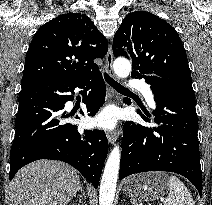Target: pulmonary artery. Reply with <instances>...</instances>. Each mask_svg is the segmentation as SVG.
I'll list each match as a JSON object with an SVG mask.
<instances>
[{"instance_id": "obj_1", "label": "pulmonary artery", "mask_w": 212, "mask_h": 205, "mask_svg": "<svg viewBox=\"0 0 212 205\" xmlns=\"http://www.w3.org/2000/svg\"><path fill=\"white\" fill-rule=\"evenodd\" d=\"M131 87L141 91L150 106H152V107L155 106L153 92H152L151 88L149 87V85H147L143 81L134 80L131 82Z\"/></svg>"}]
</instances>
